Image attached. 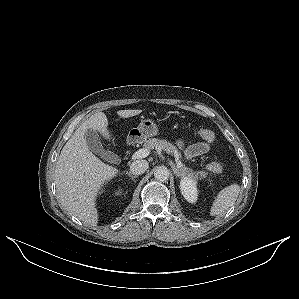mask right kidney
I'll return each mask as SVG.
<instances>
[{
  "label": "right kidney",
  "mask_w": 299,
  "mask_h": 299,
  "mask_svg": "<svg viewBox=\"0 0 299 299\" xmlns=\"http://www.w3.org/2000/svg\"><path fill=\"white\" fill-rule=\"evenodd\" d=\"M121 193H122V192H121L120 190H118V191L115 192V195L118 196V195H120Z\"/></svg>",
  "instance_id": "obj_1"
}]
</instances>
